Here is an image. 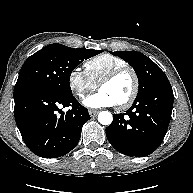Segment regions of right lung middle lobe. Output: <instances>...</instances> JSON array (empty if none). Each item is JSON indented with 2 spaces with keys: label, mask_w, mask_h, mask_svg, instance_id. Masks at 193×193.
Returning a JSON list of instances; mask_svg holds the SVG:
<instances>
[{
  "label": "right lung middle lobe",
  "mask_w": 193,
  "mask_h": 193,
  "mask_svg": "<svg viewBox=\"0 0 193 193\" xmlns=\"http://www.w3.org/2000/svg\"><path fill=\"white\" fill-rule=\"evenodd\" d=\"M102 50L70 48L50 44L31 55L23 64L14 88V97L33 89H52L72 95L69 78L83 60Z\"/></svg>",
  "instance_id": "1"
}]
</instances>
